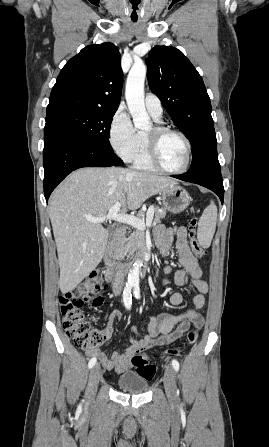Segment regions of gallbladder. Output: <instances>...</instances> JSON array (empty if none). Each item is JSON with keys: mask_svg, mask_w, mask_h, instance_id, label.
I'll use <instances>...</instances> for the list:
<instances>
[{"mask_svg": "<svg viewBox=\"0 0 269 447\" xmlns=\"http://www.w3.org/2000/svg\"><path fill=\"white\" fill-rule=\"evenodd\" d=\"M107 231H109V239H111V235H112V233H111V231H112L111 227H107Z\"/></svg>", "mask_w": 269, "mask_h": 447, "instance_id": "1", "label": "gallbladder"}]
</instances>
